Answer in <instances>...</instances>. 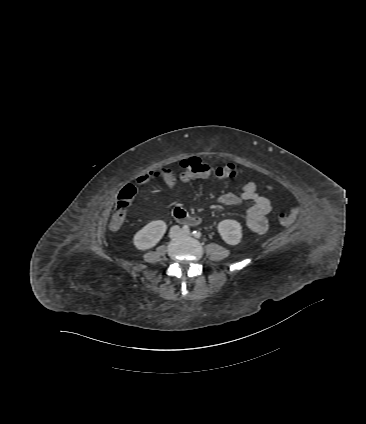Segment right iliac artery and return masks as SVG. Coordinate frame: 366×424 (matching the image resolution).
<instances>
[{
	"label": "right iliac artery",
	"mask_w": 366,
	"mask_h": 424,
	"mask_svg": "<svg viewBox=\"0 0 366 424\" xmlns=\"http://www.w3.org/2000/svg\"><path fill=\"white\" fill-rule=\"evenodd\" d=\"M182 229L184 232H189V227L187 225H184Z\"/></svg>",
	"instance_id": "right-iliac-artery-1"
}]
</instances>
